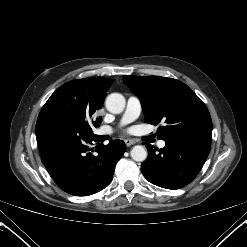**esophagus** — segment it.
I'll list each match as a JSON object with an SVG mask.
<instances>
[{"instance_id": "obj_1", "label": "esophagus", "mask_w": 247, "mask_h": 247, "mask_svg": "<svg viewBox=\"0 0 247 247\" xmlns=\"http://www.w3.org/2000/svg\"><path fill=\"white\" fill-rule=\"evenodd\" d=\"M136 143V141L135 140H132V139H126L125 140V144H126V146H131V145H133V144H135Z\"/></svg>"}]
</instances>
